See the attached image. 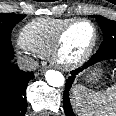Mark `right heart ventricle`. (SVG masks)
<instances>
[{"instance_id":"right-heart-ventricle-1","label":"right heart ventricle","mask_w":116,"mask_h":116,"mask_svg":"<svg viewBox=\"0 0 116 116\" xmlns=\"http://www.w3.org/2000/svg\"><path fill=\"white\" fill-rule=\"evenodd\" d=\"M72 19L40 18L27 23L20 31V46L40 57L50 55L60 29Z\"/></svg>"}]
</instances>
